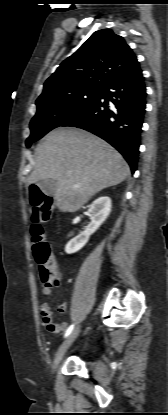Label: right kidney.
I'll return each mask as SVG.
<instances>
[{
  "instance_id": "ca27d5eb",
  "label": "right kidney",
  "mask_w": 168,
  "mask_h": 415,
  "mask_svg": "<svg viewBox=\"0 0 168 415\" xmlns=\"http://www.w3.org/2000/svg\"><path fill=\"white\" fill-rule=\"evenodd\" d=\"M111 212V199L101 197L89 207L87 215L91 222L78 236L71 239L65 246V252L72 254L79 251L89 240V237L102 225Z\"/></svg>"
}]
</instances>
